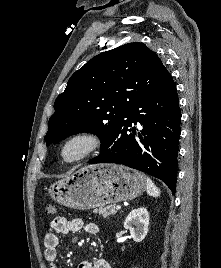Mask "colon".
<instances>
[{"mask_svg": "<svg viewBox=\"0 0 221 268\" xmlns=\"http://www.w3.org/2000/svg\"><path fill=\"white\" fill-rule=\"evenodd\" d=\"M57 212V209L54 205H47L45 208V214L48 216H53Z\"/></svg>", "mask_w": 221, "mask_h": 268, "instance_id": "5ec220e1", "label": "colon"}]
</instances>
